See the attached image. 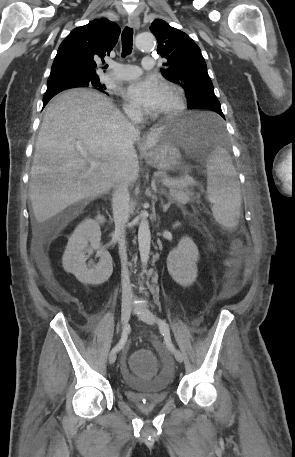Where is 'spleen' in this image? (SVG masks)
<instances>
[{
  "label": "spleen",
  "mask_w": 295,
  "mask_h": 457,
  "mask_svg": "<svg viewBox=\"0 0 295 457\" xmlns=\"http://www.w3.org/2000/svg\"><path fill=\"white\" fill-rule=\"evenodd\" d=\"M207 194L215 220L224 228L238 224L242 203L236 170L231 157L221 147L207 158Z\"/></svg>",
  "instance_id": "spleen-1"
}]
</instances>
